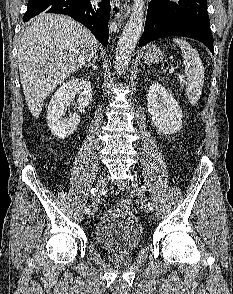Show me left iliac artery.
<instances>
[{
	"instance_id": "44dca946",
	"label": "left iliac artery",
	"mask_w": 233,
	"mask_h": 294,
	"mask_svg": "<svg viewBox=\"0 0 233 294\" xmlns=\"http://www.w3.org/2000/svg\"><path fill=\"white\" fill-rule=\"evenodd\" d=\"M140 191H141L142 193H144V192L146 191V187H145V186H141ZM147 206H148V209H149L150 211H152L153 208H154V205H153L152 202H148Z\"/></svg>"
}]
</instances>
